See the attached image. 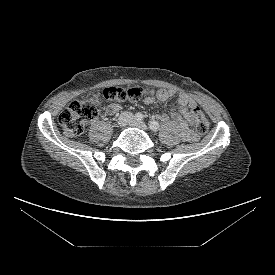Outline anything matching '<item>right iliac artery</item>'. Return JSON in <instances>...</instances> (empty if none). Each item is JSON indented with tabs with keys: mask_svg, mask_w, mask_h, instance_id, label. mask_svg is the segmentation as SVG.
Listing matches in <instances>:
<instances>
[{
	"mask_svg": "<svg viewBox=\"0 0 275 275\" xmlns=\"http://www.w3.org/2000/svg\"><path fill=\"white\" fill-rule=\"evenodd\" d=\"M135 119L137 120V121H142L143 120V114H141V113H136L135 114Z\"/></svg>",
	"mask_w": 275,
	"mask_h": 275,
	"instance_id": "right-iliac-artery-1",
	"label": "right iliac artery"
}]
</instances>
